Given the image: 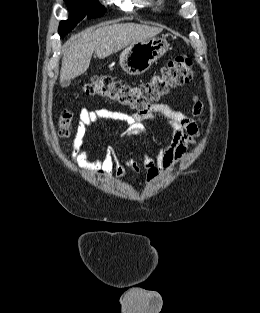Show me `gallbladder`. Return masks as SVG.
<instances>
[{
  "label": "gallbladder",
  "mask_w": 260,
  "mask_h": 313,
  "mask_svg": "<svg viewBox=\"0 0 260 313\" xmlns=\"http://www.w3.org/2000/svg\"><path fill=\"white\" fill-rule=\"evenodd\" d=\"M69 85H70V80H66V81L62 82V87L63 88L68 87Z\"/></svg>",
  "instance_id": "bac80fb5"
}]
</instances>
